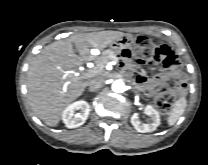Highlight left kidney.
<instances>
[{
	"label": "left kidney",
	"instance_id": "5707ae66",
	"mask_svg": "<svg viewBox=\"0 0 208 165\" xmlns=\"http://www.w3.org/2000/svg\"><path fill=\"white\" fill-rule=\"evenodd\" d=\"M144 113L150 117L151 122L147 124L141 123L139 120L138 113H134L131 116V124L134 128L141 133L152 132L160 125V116L159 113L151 106L147 105L144 109Z\"/></svg>",
	"mask_w": 208,
	"mask_h": 165
}]
</instances>
